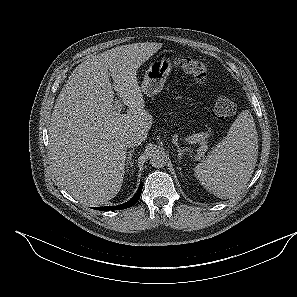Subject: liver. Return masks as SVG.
Here are the masks:
<instances>
[{
    "label": "liver",
    "instance_id": "liver-1",
    "mask_svg": "<svg viewBox=\"0 0 297 297\" xmlns=\"http://www.w3.org/2000/svg\"><path fill=\"white\" fill-rule=\"evenodd\" d=\"M161 47L134 43L91 56L74 69L56 99L48 127L51 163L60 185L84 205L99 206L118 194L125 137H147L152 116L144 109L136 73ZM115 92L128 107L125 114L114 111Z\"/></svg>",
    "mask_w": 297,
    "mask_h": 297
}]
</instances>
